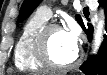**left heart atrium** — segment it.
<instances>
[{
    "mask_svg": "<svg viewBox=\"0 0 107 75\" xmlns=\"http://www.w3.org/2000/svg\"><path fill=\"white\" fill-rule=\"evenodd\" d=\"M63 32L70 45L77 49L80 40L79 27L75 23L71 22Z\"/></svg>",
    "mask_w": 107,
    "mask_h": 75,
    "instance_id": "1",
    "label": "left heart atrium"
}]
</instances>
